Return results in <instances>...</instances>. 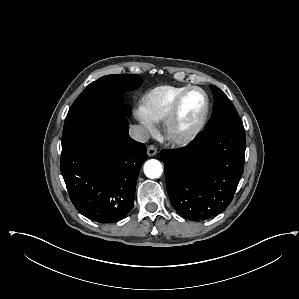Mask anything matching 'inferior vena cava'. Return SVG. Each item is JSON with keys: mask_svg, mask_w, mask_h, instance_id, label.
<instances>
[{"mask_svg": "<svg viewBox=\"0 0 299 299\" xmlns=\"http://www.w3.org/2000/svg\"><path fill=\"white\" fill-rule=\"evenodd\" d=\"M129 135L132 139L145 143L149 140L150 134L148 130L140 125H133L129 130Z\"/></svg>", "mask_w": 299, "mask_h": 299, "instance_id": "obj_1", "label": "inferior vena cava"}]
</instances>
